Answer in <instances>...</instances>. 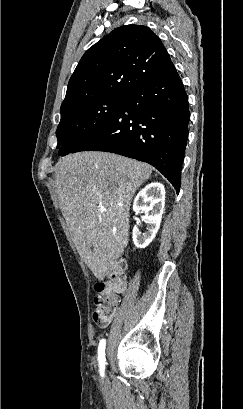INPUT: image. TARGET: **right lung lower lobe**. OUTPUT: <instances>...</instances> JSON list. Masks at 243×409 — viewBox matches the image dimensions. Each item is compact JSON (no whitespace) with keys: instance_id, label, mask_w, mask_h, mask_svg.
Segmentation results:
<instances>
[{"instance_id":"1","label":"right lung lower lobe","mask_w":243,"mask_h":409,"mask_svg":"<svg viewBox=\"0 0 243 409\" xmlns=\"http://www.w3.org/2000/svg\"><path fill=\"white\" fill-rule=\"evenodd\" d=\"M189 119L188 96L174 71L132 91L108 125L71 153L106 151L147 162L179 193Z\"/></svg>"}]
</instances>
